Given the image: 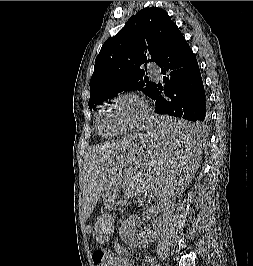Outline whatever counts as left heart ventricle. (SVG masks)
<instances>
[{"label":"left heart ventricle","mask_w":253,"mask_h":266,"mask_svg":"<svg viewBox=\"0 0 253 266\" xmlns=\"http://www.w3.org/2000/svg\"><path fill=\"white\" fill-rule=\"evenodd\" d=\"M141 111L140 104L131 98L121 99L102 112L99 119L101 133L110 135L130 125Z\"/></svg>","instance_id":"obj_1"}]
</instances>
